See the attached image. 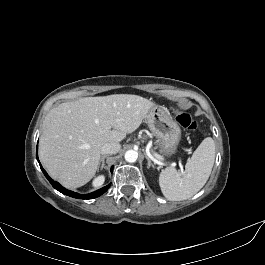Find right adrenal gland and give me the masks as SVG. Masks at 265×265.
Segmentation results:
<instances>
[{
    "label": "right adrenal gland",
    "instance_id": "1",
    "mask_svg": "<svg viewBox=\"0 0 265 265\" xmlns=\"http://www.w3.org/2000/svg\"><path fill=\"white\" fill-rule=\"evenodd\" d=\"M107 157V155H103L100 159V163H99V166H98V169L100 168V170H102L104 168V161H105V158Z\"/></svg>",
    "mask_w": 265,
    "mask_h": 265
}]
</instances>
